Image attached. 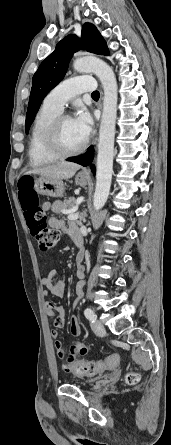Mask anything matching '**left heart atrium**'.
<instances>
[{"label": "left heart atrium", "instance_id": "obj_1", "mask_svg": "<svg viewBox=\"0 0 171 445\" xmlns=\"http://www.w3.org/2000/svg\"><path fill=\"white\" fill-rule=\"evenodd\" d=\"M73 120L82 135L85 138H88L93 128V120L90 113L85 108H81L78 110Z\"/></svg>", "mask_w": 171, "mask_h": 445}]
</instances>
